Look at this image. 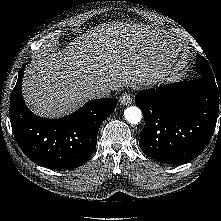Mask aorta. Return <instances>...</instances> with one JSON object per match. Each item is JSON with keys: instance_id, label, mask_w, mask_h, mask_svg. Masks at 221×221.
<instances>
[{"instance_id": "obj_1", "label": "aorta", "mask_w": 221, "mask_h": 221, "mask_svg": "<svg viewBox=\"0 0 221 221\" xmlns=\"http://www.w3.org/2000/svg\"><path fill=\"white\" fill-rule=\"evenodd\" d=\"M125 119L131 124H138L142 119V112L136 106H130L124 111Z\"/></svg>"}]
</instances>
